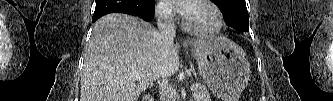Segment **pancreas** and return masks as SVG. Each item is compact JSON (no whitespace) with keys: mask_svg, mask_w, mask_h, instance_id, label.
I'll return each instance as SVG.
<instances>
[{"mask_svg":"<svg viewBox=\"0 0 333 101\" xmlns=\"http://www.w3.org/2000/svg\"><path fill=\"white\" fill-rule=\"evenodd\" d=\"M195 101H211L210 93L205 85H197L193 91ZM171 98H174L171 96Z\"/></svg>","mask_w":333,"mask_h":101,"instance_id":"obj_1","label":"pancreas"}]
</instances>
